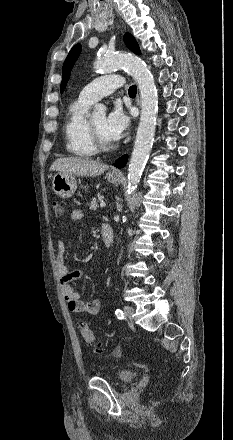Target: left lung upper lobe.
<instances>
[{
	"mask_svg": "<svg viewBox=\"0 0 233 440\" xmlns=\"http://www.w3.org/2000/svg\"><path fill=\"white\" fill-rule=\"evenodd\" d=\"M124 41H125L127 47L132 52H134L135 54H140L139 46L131 34L126 33L124 36ZM80 52H81V45L80 44L75 45L71 49V51L69 52V54L64 62L63 71H62V82H61V87H60L61 92H63V90L67 84V81L70 77L72 66H73L74 62L77 60Z\"/></svg>",
	"mask_w": 233,
	"mask_h": 440,
	"instance_id": "5c2ea615",
	"label": "left lung upper lobe"
}]
</instances>
